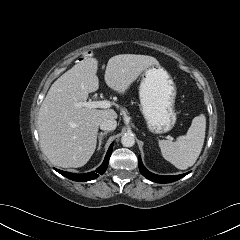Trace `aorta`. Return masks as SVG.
<instances>
[{"instance_id":"obj_1","label":"aorta","mask_w":240,"mask_h":240,"mask_svg":"<svg viewBox=\"0 0 240 240\" xmlns=\"http://www.w3.org/2000/svg\"><path fill=\"white\" fill-rule=\"evenodd\" d=\"M121 143L124 147H132L135 144V138L132 134H124L121 137Z\"/></svg>"}]
</instances>
